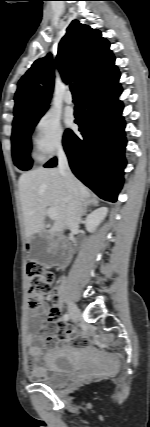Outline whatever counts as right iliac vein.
<instances>
[{"label":"right iliac vein","instance_id":"63e3f726","mask_svg":"<svg viewBox=\"0 0 150 427\" xmlns=\"http://www.w3.org/2000/svg\"><path fill=\"white\" fill-rule=\"evenodd\" d=\"M68 312H69L71 319L74 321H76L80 316V312H79L77 306L72 302H70L68 304Z\"/></svg>","mask_w":150,"mask_h":427}]
</instances>
